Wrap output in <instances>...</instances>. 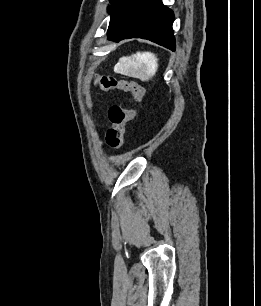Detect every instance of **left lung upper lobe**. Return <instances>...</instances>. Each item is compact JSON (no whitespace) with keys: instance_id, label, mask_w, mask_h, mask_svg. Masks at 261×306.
Returning <instances> with one entry per match:
<instances>
[{"instance_id":"obj_1","label":"left lung upper lobe","mask_w":261,"mask_h":306,"mask_svg":"<svg viewBox=\"0 0 261 306\" xmlns=\"http://www.w3.org/2000/svg\"><path fill=\"white\" fill-rule=\"evenodd\" d=\"M111 5L108 6V11L111 14L108 32H111L116 26L119 18L121 17L124 9L129 5L132 0H109Z\"/></svg>"}]
</instances>
